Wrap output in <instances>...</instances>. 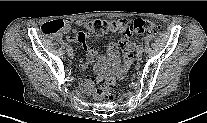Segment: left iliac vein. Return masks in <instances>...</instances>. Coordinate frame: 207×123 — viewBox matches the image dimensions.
I'll return each instance as SVG.
<instances>
[{
    "instance_id": "left-iliac-vein-1",
    "label": "left iliac vein",
    "mask_w": 207,
    "mask_h": 123,
    "mask_svg": "<svg viewBox=\"0 0 207 123\" xmlns=\"http://www.w3.org/2000/svg\"><path fill=\"white\" fill-rule=\"evenodd\" d=\"M142 59V51L138 50L136 53V60L140 61Z\"/></svg>"
}]
</instances>
